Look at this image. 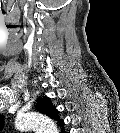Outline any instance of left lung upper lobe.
Returning <instances> with one entry per match:
<instances>
[{"instance_id":"obj_1","label":"left lung upper lobe","mask_w":120,"mask_h":133,"mask_svg":"<svg viewBox=\"0 0 120 133\" xmlns=\"http://www.w3.org/2000/svg\"><path fill=\"white\" fill-rule=\"evenodd\" d=\"M36 108L43 114H46L49 117H53L58 111L55 108H52L46 99L39 98L36 103ZM3 119L4 116H0V128L3 127ZM59 124L62 125L63 123L59 121Z\"/></svg>"}]
</instances>
